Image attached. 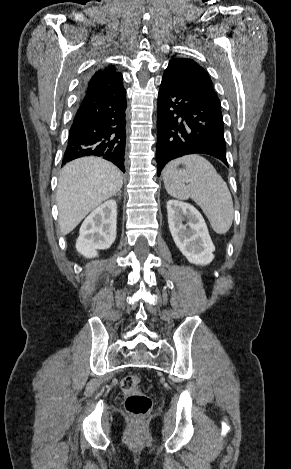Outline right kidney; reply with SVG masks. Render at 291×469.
Segmentation results:
<instances>
[{
    "label": "right kidney",
    "mask_w": 291,
    "mask_h": 469,
    "mask_svg": "<svg viewBox=\"0 0 291 469\" xmlns=\"http://www.w3.org/2000/svg\"><path fill=\"white\" fill-rule=\"evenodd\" d=\"M117 204L108 200L84 220L76 241L77 251L86 258H94L97 250L108 249L116 239Z\"/></svg>",
    "instance_id": "obj_1"
}]
</instances>
